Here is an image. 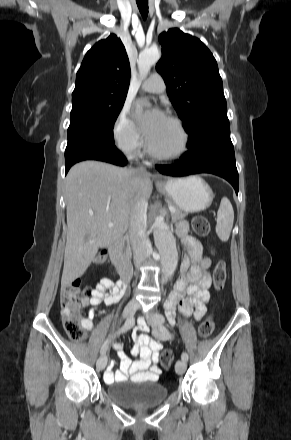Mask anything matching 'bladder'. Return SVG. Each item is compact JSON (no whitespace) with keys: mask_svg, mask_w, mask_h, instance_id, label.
I'll list each match as a JSON object with an SVG mask.
<instances>
[{"mask_svg":"<svg viewBox=\"0 0 291 440\" xmlns=\"http://www.w3.org/2000/svg\"><path fill=\"white\" fill-rule=\"evenodd\" d=\"M107 393L116 403L136 408L161 403L168 389L150 380L130 379L108 384Z\"/></svg>","mask_w":291,"mask_h":440,"instance_id":"31cf9c89","label":"bladder"}]
</instances>
